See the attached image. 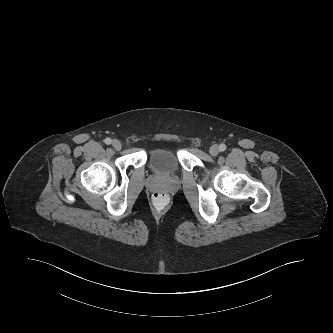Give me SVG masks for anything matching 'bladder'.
Instances as JSON below:
<instances>
[{"instance_id":"1","label":"bladder","mask_w":333,"mask_h":333,"mask_svg":"<svg viewBox=\"0 0 333 333\" xmlns=\"http://www.w3.org/2000/svg\"><path fill=\"white\" fill-rule=\"evenodd\" d=\"M151 169L161 175L174 172L179 165V155L174 149L156 148L148 155Z\"/></svg>"}]
</instances>
